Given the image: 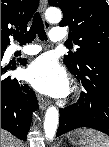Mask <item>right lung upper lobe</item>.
Listing matches in <instances>:
<instances>
[{
	"label": "right lung upper lobe",
	"instance_id": "obj_1",
	"mask_svg": "<svg viewBox=\"0 0 109 147\" xmlns=\"http://www.w3.org/2000/svg\"><path fill=\"white\" fill-rule=\"evenodd\" d=\"M39 0H1V49L10 44L11 32H25Z\"/></svg>",
	"mask_w": 109,
	"mask_h": 147
}]
</instances>
